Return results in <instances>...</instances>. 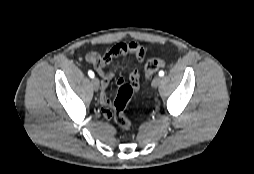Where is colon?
<instances>
[{
  "instance_id": "5ec220e1",
  "label": "colon",
  "mask_w": 254,
  "mask_h": 174,
  "mask_svg": "<svg viewBox=\"0 0 254 174\" xmlns=\"http://www.w3.org/2000/svg\"><path fill=\"white\" fill-rule=\"evenodd\" d=\"M127 45V44H125ZM130 45V44H129ZM165 62L161 59H149L145 63V74L150 77L160 68L165 67ZM136 91V87L132 84H123L119 87L116 99L114 101V122L122 129L129 130L132 127V122L125 113V109L129 100Z\"/></svg>"
}]
</instances>
